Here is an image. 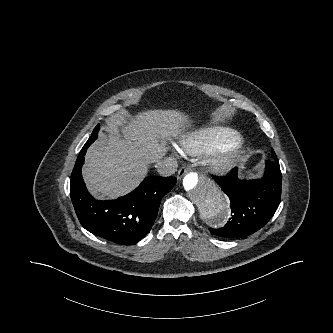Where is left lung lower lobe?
Wrapping results in <instances>:
<instances>
[{"label": "left lung lower lobe", "instance_id": "left-lung-lower-lobe-1", "mask_svg": "<svg viewBox=\"0 0 333 333\" xmlns=\"http://www.w3.org/2000/svg\"><path fill=\"white\" fill-rule=\"evenodd\" d=\"M266 172L260 180H240L237 169L215 182L230 199L232 217L219 229L210 228L214 235L241 238L262 228L276 212L281 198L282 175L279 162L266 161Z\"/></svg>", "mask_w": 333, "mask_h": 333}]
</instances>
